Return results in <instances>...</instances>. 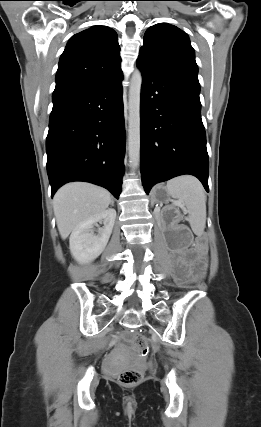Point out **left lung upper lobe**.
<instances>
[{
	"label": "left lung upper lobe",
	"instance_id": "obj_1",
	"mask_svg": "<svg viewBox=\"0 0 261 427\" xmlns=\"http://www.w3.org/2000/svg\"><path fill=\"white\" fill-rule=\"evenodd\" d=\"M138 60L198 79L195 53L188 35L168 23H159L147 29Z\"/></svg>",
	"mask_w": 261,
	"mask_h": 427
}]
</instances>
